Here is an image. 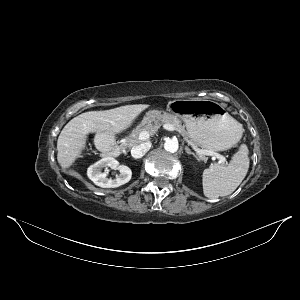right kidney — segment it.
<instances>
[{"label":"right kidney","instance_id":"right-kidney-1","mask_svg":"<svg viewBox=\"0 0 300 300\" xmlns=\"http://www.w3.org/2000/svg\"><path fill=\"white\" fill-rule=\"evenodd\" d=\"M119 170L120 174L114 179L108 178L106 172H101L103 168ZM87 175L97 186L102 188H116L130 181L132 176L131 169L126 165H120L112 157H104L91 165L87 170Z\"/></svg>","mask_w":300,"mask_h":300}]
</instances>
